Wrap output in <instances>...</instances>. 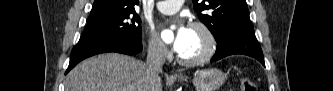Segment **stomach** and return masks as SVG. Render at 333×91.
I'll return each mask as SVG.
<instances>
[{"mask_svg":"<svg viewBox=\"0 0 333 91\" xmlns=\"http://www.w3.org/2000/svg\"><path fill=\"white\" fill-rule=\"evenodd\" d=\"M224 82V73L216 68L201 70L193 78L197 91H216Z\"/></svg>","mask_w":333,"mask_h":91,"instance_id":"obj_1","label":"stomach"}]
</instances>
